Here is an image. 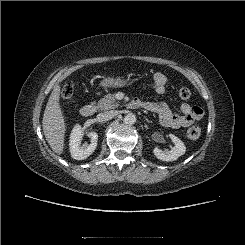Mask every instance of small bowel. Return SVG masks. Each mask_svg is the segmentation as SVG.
Here are the masks:
<instances>
[{
    "label": "small bowel",
    "instance_id": "1",
    "mask_svg": "<svg viewBox=\"0 0 245 245\" xmlns=\"http://www.w3.org/2000/svg\"><path fill=\"white\" fill-rule=\"evenodd\" d=\"M152 85L158 94H163L167 85V77L161 72L154 74ZM141 107L159 116L160 123L166 128H184L199 121L203 117V110L199 106L183 103L180 106L181 115L173 114L169 105L160 101H143Z\"/></svg>",
    "mask_w": 245,
    "mask_h": 245
}]
</instances>
